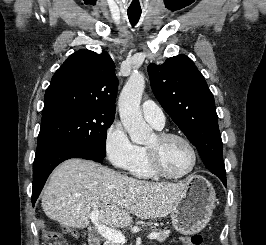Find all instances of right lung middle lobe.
<instances>
[{
  "label": "right lung middle lobe",
  "instance_id": "dd1d6c3e",
  "mask_svg": "<svg viewBox=\"0 0 266 245\" xmlns=\"http://www.w3.org/2000/svg\"><path fill=\"white\" fill-rule=\"evenodd\" d=\"M115 113L97 108H77L58 112L41 120L37 151L56 144H69L105 157L106 130Z\"/></svg>",
  "mask_w": 266,
  "mask_h": 245
}]
</instances>
